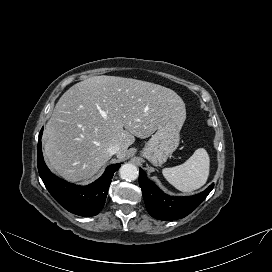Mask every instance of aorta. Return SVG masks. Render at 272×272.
Instances as JSON below:
<instances>
[{
  "mask_svg": "<svg viewBox=\"0 0 272 272\" xmlns=\"http://www.w3.org/2000/svg\"><path fill=\"white\" fill-rule=\"evenodd\" d=\"M119 173L122 179L127 181H133L138 178L139 171L134 164L126 163L121 166Z\"/></svg>",
  "mask_w": 272,
  "mask_h": 272,
  "instance_id": "1",
  "label": "aorta"
}]
</instances>
